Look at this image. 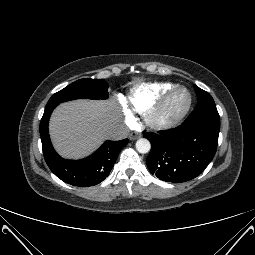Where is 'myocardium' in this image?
Masks as SVG:
<instances>
[{
  "mask_svg": "<svg viewBox=\"0 0 255 255\" xmlns=\"http://www.w3.org/2000/svg\"><path fill=\"white\" fill-rule=\"evenodd\" d=\"M184 91L188 96L186 105L176 114L172 116H164L163 112L170 99L178 92ZM192 105V94L188 88L184 86H176L166 92L159 101L148 110L146 115V123L155 130H166L176 126L187 115Z\"/></svg>",
  "mask_w": 255,
  "mask_h": 255,
  "instance_id": "1",
  "label": "myocardium"
}]
</instances>
